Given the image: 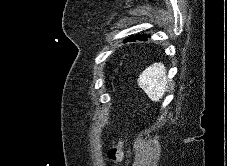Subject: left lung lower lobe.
Listing matches in <instances>:
<instances>
[{"label": "left lung lower lobe", "mask_w": 227, "mask_h": 166, "mask_svg": "<svg viewBox=\"0 0 227 166\" xmlns=\"http://www.w3.org/2000/svg\"><path fill=\"white\" fill-rule=\"evenodd\" d=\"M146 37H149V36H146V35H138L136 37H134V36L133 37H130L126 41H135L136 39L141 40V41H145V40H147Z\"/></svg>", "instance_id": "0a47b994"}]
</instances>
